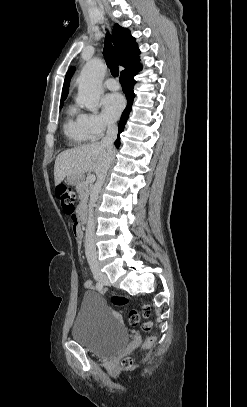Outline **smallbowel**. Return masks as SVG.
Segmentation results:
<instances>
[{"mask_svg": "<svg viewBox=\"0 0 247 407\" xmlns=\"http://www.w3.org/2000/svg\"><path fill=\"white\" fill-rule=\"evenodd\" d=\"M71 218H72V220H73V222H74V225H73V233H74V235H75V238H76L77 240H79V239L81 238V231H80V229H79V226H78L77 223H76V216H75V214H74L73 216H71ZM84 286H85L86 288H92V287H93L92 282H91L90 280H86L85 283H84Z\"/></svg>", "mask_w": 247, "mask_h": 407, "instance_id": "small-bowel-1", "label": "small bowel"}]
</instances>
